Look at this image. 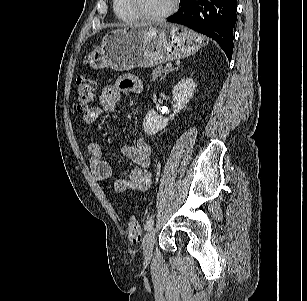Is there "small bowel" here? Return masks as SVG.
Instances as JSON below:
<instances>
[{
  "instance_id": "c3829d8e",
  "label": "small bowel",
  "mask_w": 307,
  "mask_h": 301,
  "mask_svg": "<svg viewBox=\"0 0 307 301\" xmlns=\"http://www.w3.org/2000/svg\"><path fill=\"white\" fill-rule=\"evenodd\" d=\"M141 80L133 75L121 77L115 85L105 86L99 97V106L87 110L83 121L87 125L93 124L103 112H111L116 108L122 93L139 94L142 92ZM90 156L89 166L97 180L105 181L113 177V165L105 156L102 146L97 141H90L87 145ZM122 154L135 164L126 177H118L114 181V190L119 193L147 190L152 182L151 154L152 147L144 139H138L135 145L124 146Z\"/></svg>"
}]
</instances>
